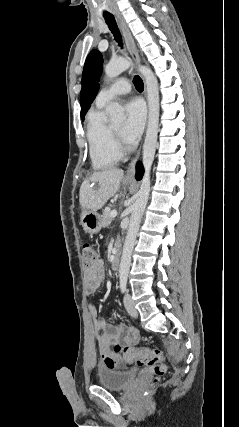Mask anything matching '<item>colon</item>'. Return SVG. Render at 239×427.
Returning <instances> with one entry per match:
<instances>
[{
  "label": "colon",
  "mask_w": 239,
  "mask_h": 427,
  "mask_svg": "<svg viewBox=\"0 0 239 427\" xmlns=\"http://www.w3.org/2000/svg\"><path fill=\"white\" fill-rule=\"evenodd\" d=\"M82 259L86 266H90L96 261L97 253L92 243L85 242L82 244ZM118 352L128 364H137L150 368L155 375L152 386L159 381L160 377L164 375L166 371L162 363L161 353L157 349L150 347H120Z\"/></svg>",
  "instance_id": "5ec220e1"
}]
</instances>
